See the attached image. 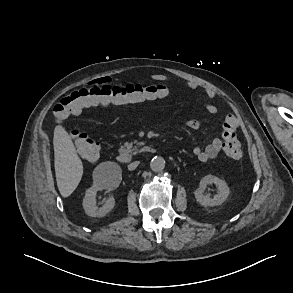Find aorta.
Instances as JSON below:
<instances>
[{"label": "aorta", "instance_id": "1", "mask_svg": "<svg viewBox=\"0 0 293 293\" xmlns=\"http://www.w3.org/2000/svg\"><path fill=\"white\" fill-rule=\"evenodd\" d=\"M165 167V160L160 156H155L150 162V168L154 172H161Z\"/></svg>", "mask_w": 293, "mask_h": 293}]
</instances>
